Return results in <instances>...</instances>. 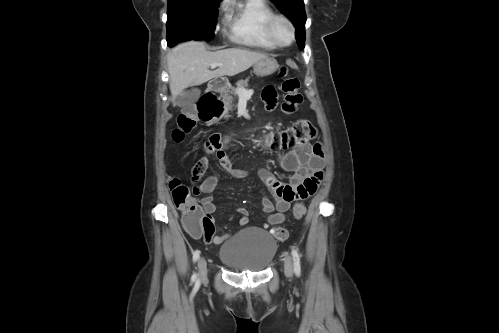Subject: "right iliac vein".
Segmentation results:
<instances>
[{
    "label": "right iliac vein",
    "mask_w": 499,
    "mask_h": 333,
    "mask_svg": "<svg viewBox=\"0 0 499 333\" xmlns=\"http://www.w3.org/2000/svg\"><path fill=\"white\" fill-rule=\"evenodd\" d=\"M199 280L204 281L207 278V263L204 258L198 260Z\"/></svg>",
    "instance_id": "1"
}]
</instances>
